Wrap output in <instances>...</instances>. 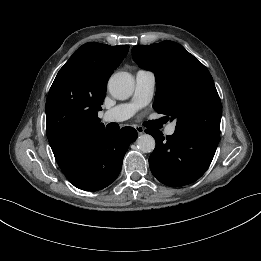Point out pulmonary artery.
<instances>
[{
	"label": "pulmonary artery",
	"instance_id": "1",
	"mask_svg": "<svg viewBox=\"0 0 261 261\" xmlns=\"http://www.w3.org/2000/svg\"><path fill=\"white\" fill-rule=\"evenodd\" d=\"M135 91L130 102L119 104L103 115L105 122H122L132 117L140 108L147 105L153 97L156 78L153 72L139 70L136 73ZM175 123H170L165 132L172 135L175 132Z\"/></svg>",
	"mask_w": 261,
	"mask_h": 261
}]
</instances>
